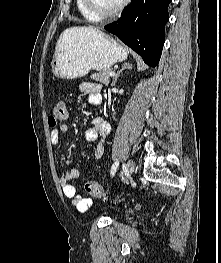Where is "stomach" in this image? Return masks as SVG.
Returning a JSON list of instances; mask_svg holds the SVG:
<instances>
[{
    "instance_id": "0dacf381",
    "label": "stomach",
    "mask_w": 221,
    "mask_h": 263,
    "mask_svg": "<svg viewBox=\"0 0 221 263\" xmlns=\"http://www.w3.org/2000/svg\"><path fill=\"white\" fill-rule=\"evenodd\" d=\"M126 58L127 51L109 35L99 30L74 27L60 36L51 67L57 77L76 79L92 69L109 70Z\"/></svg>"
}]
</instances>
